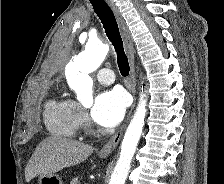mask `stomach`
I'll use <instances>...</instances> for the list:
<instances>
[{"label":"stomach","instance_id":"0dacf381","mask_svg":"<svg viewBox=\"0 0 224 184\" xmlns=\"http://www.w3.org/2000/svg\"><path fill=\"white\" fill-rule=\"evenodd\" d=\"M39 184H63L62 178L57 175H39Z\"/></svg>","mask_w":224,"mask_h":184}]
</instances>
